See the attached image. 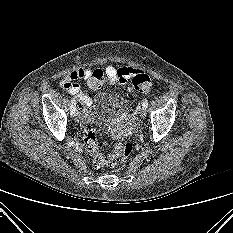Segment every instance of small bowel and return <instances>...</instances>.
<instances>
[{
	"label": "small bowel",
	"instance_id": "c3829d8e",
	"mask_svg": "<svg viewBox=\"0 0 233 233\" xmlns=\"http://www.w3.org/2000/svg\"><path fill=\"white\" fill-rule=\"evenodd\" d=\"M93 70L87 68H77L71 71L62 80L61 85L70 94L74 95L84 106L89 107L92 103L91 97L80 89L77 80H87ZM140 70L132 67L115 68L113 66H107L104 73L115 80V82L125 85L127 80L135 76Z\"/></svg>",
	"mask_w": 233,
	"mask_h": 233
}]
</instances>
